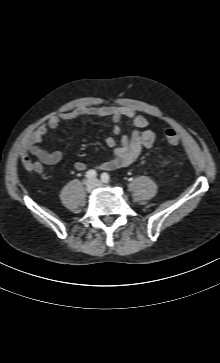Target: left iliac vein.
Segmentation results:
<instances>
[{"mask_svg": "<svg viewBox=\"0 0 220 363\" xmlns=\"http://www.w3.org/2000/svg\"><path fill=\"white\" fill-rule=\"evenodd\" d=\"M94 181H95L97 187L103 186V183L101 181H99L97 179H95Z\"/></svg>", "mask_w": 220, "mask_h": 363, "instance_id": "4c4485c4", "label": "left iliac vein"}]
</instances>
